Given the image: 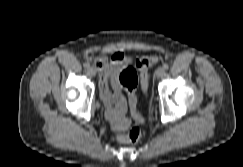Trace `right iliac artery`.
Instances as JSON below:
<instances>
[{"mask_svg": "<svg viewBox=\"0 0 243 167\" xmlns=\"http://www.w3.org/2000/svg\"><path fill=\"white\" fill-rule=\"evenodd\" d=\"M83 66H84L85 68H89V67H90V64H89L88 62H85V63L83 64Z\"/></svg>", "mask_w": 243, "mask_h": 167, "instance_id": "82829eb1", "label": "right iliac artery"}]
</instances>
